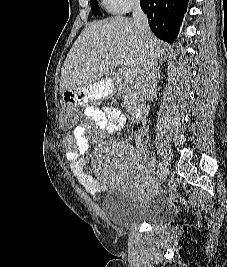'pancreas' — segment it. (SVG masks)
Returning a JSON list of instances; mask_svg holds the SVG:
<instances>
[{"instance_id": "obj_1", "label": "pancreas", "mask_w": 227, "mask_h": 267, "mask_svg": "<svg viewBox=\"0 0 227 267\" xmlns=\"http://www.w3.org/2000/svg\"><path fill=\"white\" fill-rule=\"evenodd\" d=\"M124 106L132 111L135 106H136V93L135 92H130L127 93V95L124 97Z\"/></svg>"}]
</instances>
